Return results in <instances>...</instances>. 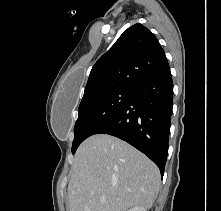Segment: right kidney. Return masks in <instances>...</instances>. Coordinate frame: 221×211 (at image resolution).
Here are the masks:
<instances>
[{
    "mask_svg": "<svg viewBox=\"0 0 221 211\" xmlns=\"http://www.w3.org/2000/svg\"><path fill=\"white\" fill-rule=\"evenodd\" d=\"M128 211H146V209L141 206H135L134 208H131Z\"/></svg>",
    "mask_w": 221,
    "mask_h": 211,
    "instance_id": "ca27d5eb",
    "label": "right kidney"
}]
</instances>
